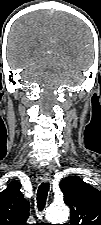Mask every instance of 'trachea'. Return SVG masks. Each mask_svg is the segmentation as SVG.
<instances>
[{
	"label": "trachea",
	"mask_w": 101,
	"mask_h": 225,
	"mask_svg": "<svg viewBox=\"0 0 101 225\" xmlns=\"http://www.w3.org/2000/svg\"><path fill=\"white\" fill-rule=\"evenodd\" d=\"M49 183H41V185L38 188L37 191V207L38 210L41 212L43 211L45 204H46V199L47 195L49 192Z\"/></svg>",
	"instance_id": "obj_1"
}]
</instances>
